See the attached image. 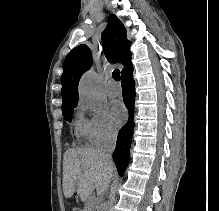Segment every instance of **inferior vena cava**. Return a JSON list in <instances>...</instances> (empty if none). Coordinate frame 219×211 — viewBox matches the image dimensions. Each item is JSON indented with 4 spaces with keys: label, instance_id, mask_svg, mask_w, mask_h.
I'll use <instances>...</instances> for the list:
<instances>
[{
    "label": "inferior vena cava",
    "instance_id": "obj_1",
    "mask_svg": "<svg viewBox=\"0 0 219 211\" xmlns=\"http://www.w3.org/2000/svg\"><path fill=\"white\" fill-rule=\"evenodd\" d=\"M116 137L117 131H109L103 141V145L98 149L105 159H110V162L108 163L110 166L114 165L112 161V153L116 147Z\"/></svg>",
    "mask_w": 219,
    "mask_h": 211
}]
</instances>
